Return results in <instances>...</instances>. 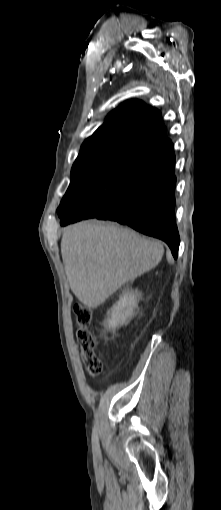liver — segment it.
I'll use <instances>...</instances> for the list:
<instances>
[{"mask_svg":"<svg viewBox=\"0 0 221 510\" xmlns=\"http://www.w3.org/2000/svg\"><path fill=\"white\" fill-rule=\"evenodd\" d=\"M163 253L160 241L114 223L80 222L65 229L61 240L71 291L89 308L156 267Z\"/></svg>","mask_w":221,"mask_h":510,"instance_id":"obj_1","label":"liver"}]
</instances>
